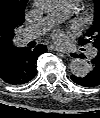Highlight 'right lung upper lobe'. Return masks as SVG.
<instances>
[{
  "label": "right lung upper lobe",
  "mask_w": 100,
  "mask_h": 118,
  "mask_svg": "<svg viewBox=\"0 0 100 118\" xmlns=\"http://www.w3.org/2000/svg\"><path fill=\"white\" fill-rule=\"evenodd\" d=\"M28 0H0V56L12 52L14 29L24 22V8Z\"/></svg>",
  "instance_id": "cb5924a9"
}]
</instances>
